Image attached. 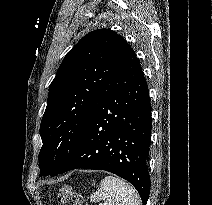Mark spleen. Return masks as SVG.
I'll return each instance as SVG.
<instances>
[{
    "mask_svg": "<svg viewBox=\"0 0 212 205\" xmlns=\"http://www.w3.org/2000/svg\"><path fill=\"white\" fill-rule=\"evenodd\" d=\"M89 199L91 202L103 201L99 205H142L136 190L116 176H107L101 180Z\"/></svg>",
    "mask_w": 212,
    "mask_h": 205,
    "instance_id": "obj_1",
    "label": "spleen"
}]
</instances>
